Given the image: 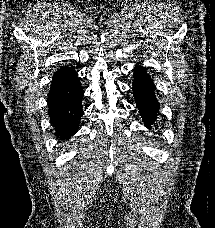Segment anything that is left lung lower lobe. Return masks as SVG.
Segmentation results:
<instances>
[{
    "instance_id": "left-lung-lower-lobe-1",
    "label": "left lung lower lobe",
    "mask_w": 215,
    "mask_h": 228,
    "mask_svg": "<svg viewBox=\"0 0 215 228\" xmlns=\"http://www.w3.org/2000/svg\"><path fill=\"white\" fill-rule=\"evenodd\" d=\"M132 90L144 124L150 130L159 114V104L154 94L153 80L141 66H136L134 69Z\"/></svg>"
}]
</instances>
